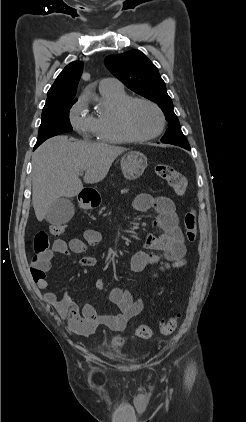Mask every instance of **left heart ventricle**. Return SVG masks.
Wrapping results in <instances>:
<instances>
[{
  "mask_svg": "<svg viewBox=\"0 0 246 422\" xmlns=\"http://www.w3.org/2000/svg\"><path fill=\"white\" fill-rule=\"evenodd\" d=\"M129 121L139 135H150L160 125V118L154 108L145 103H136L129 112Z\"/></svg>",
  "mask_w": 246,
  "mask_h": 422,
  "instance_id": "b2bd125f",
  "label": "left heart ventricle"
}]
</instances>
